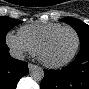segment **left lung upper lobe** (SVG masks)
<instances>
[{
    "label": "left lung upper lobe",
    "mask_w": 89,
    "mask_h": 89,
    "mask_svg": "<svg viewBox=\"0 0 89 89\" xmlns=\"http://www.w3.org/2000/svg\"><path fill=\"white\" fill-rule=\"evenodd\" d=\"M61 21L68 23L75 29L80 38L81 46L89 45V25L71 17L63 18Z\"/></svg>",
    "instance_id": "5c2ea615"
}]
</instances>
